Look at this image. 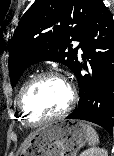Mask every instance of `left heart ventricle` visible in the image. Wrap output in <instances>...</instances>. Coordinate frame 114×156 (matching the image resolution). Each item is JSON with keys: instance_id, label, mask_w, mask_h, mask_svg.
I'll list each match as a JSON object with an SVG mask.
<instances>
[{"instance_id": "obj_1", "label": "left heart ventricle", "mask_w": 114, "mask_h": 156, "mask_svg": "<svg viewBox=\"0 0 114 156\" xmlns=\"http://www.w3.org/2000/svg\"><path fill=\"white\" fill-rule=\"evenodd\" d=\"M68 97V89L60 79L44 78L26 92L23 107L31 120H38L61 112Z\"/></svg>"}]
</instances>
